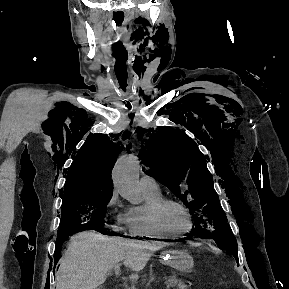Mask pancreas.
Returning <instances> with one entry per match:
<instances>
[{
	"instance_id": "obj_1",
	"label": "pancreas",
	"mask_w": 289,
	"mask_h": 289,
	"mask_svg": "<svg viewBox=\"0 0 289 289\" xmlns=\"http://www.w3.org/2000/svg\"><path fill=\"white\" fill-rule=\"evenodd\" d=\"M166 284L173 286L174 289H189V287L183 282L178 281L175 276H172L166 280Z\"/></svg>"
}]
</instances>
